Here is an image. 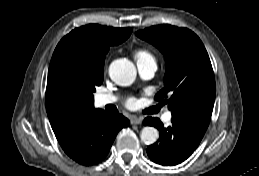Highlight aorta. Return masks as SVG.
<instances>
[{"label": "aorta", "mask_w": 259, "mask_h": 176, "mask_svg": "<svg viewBox=\"0 0 259 176\" xmlns=\"http://www.w3.org/2000/svg\"><path fill=\"white\" fill-rule=\"evenodd\" d=\"M136 75V67L128 59H116L109 66V76L118 85H131ZM140 138L147 145L154 144L159 138V132L154 127L146 126L142 129Z\"/></svg>", "instance_id": "1"}]
</instances>
